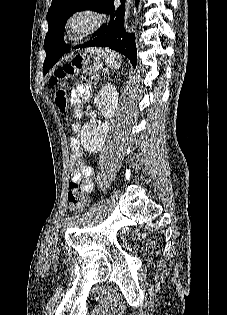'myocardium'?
I'll return each instance as SVG.
<instances>
[{
	"label": "myocardium",
	"instance_id": "f54148a6",
	"mask_svg": "<svg viewBox=\"0 0 227 315\" xmlns=\"http://www.w3.org/2000/svg\"><path fill=\"white\" fill-rule=\"evenodd\" d=\"M102 24L100 13L91 8L70 13L63 25V41L73 43L92 35Z\"/></svg>",
	"mask_w": 227,
	"mask_h": 315
}]
</instances>
